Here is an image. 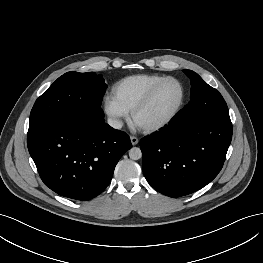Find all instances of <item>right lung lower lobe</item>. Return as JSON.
<instances>
[{
	"mask_svg": "<svg viewBox=\"0 0 263 263\" xmlns=\"http://www.w3.org/2000/svg\"><path fill=\"white\" fill-rule=\"evenodd\" d=\"M27 145L46 186L64 197L90 200L108 186L131 141L104 123L103 111L94 107L28 135Z\"/></svg>",
	"mask_w": 263,
	"mask_h": 263,
	"instance_id": "obj_1",
	"label": "right lung lower lobe"
}]
</instances>
